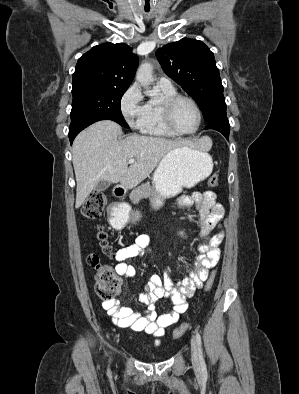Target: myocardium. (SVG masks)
Wrapping results in <instances>:
<instances>
[{"label":"myocardium","mask_w":299,"mask_h":394,"mask_svg":"<svg viewBox=\"0 0 299 394\" xmlns=\"http://www.w3.org/2000/svg\"><path fill=\"white\" fill-rule=\"evenodd\" d=\"M188 101L196 110L197 116H198V122L196 127L189 132H184L179 130L175 123H174V118H173V114H174V109L176 107V105L182 101ZM161 114H162V119L164 122V125L166 126V128L171 131L172 133H174L175 135H180V136H185V135H192L194 133H196L201 124H202V112L201 109L199 107V105L197 104V102L185 95H175L173 97H170L166 100H164L161 104Z\"/></svg>","instance_id":"1"}]
</instances>
